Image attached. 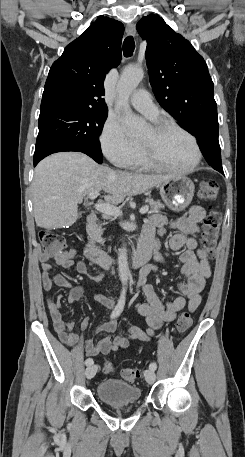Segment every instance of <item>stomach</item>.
Segmentation results:
<instances>
[{
  "instance_id": "0dacf381",
  "label": "stomach",
  "mask_w": 245,
  "mask_h": 457,
  "mask_svg": "<svg viewBox=\"0 0 245 457\" xmlns=\"http://www.w3.org/2000/svg\"><path fill=\"white\" fill-rule=\"evenodd\" d=\"M195 184L188 176H172L161 182L160 194L172 210H184L194 196Z\"/></svg>"
}]
</instances>
